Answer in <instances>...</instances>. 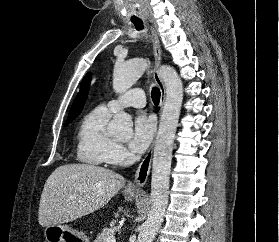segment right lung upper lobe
<instances>
[{
    "label": "right lung upper lobe",
    "instance_id": "right-lung-upper-lobe-1",
    "mask_svg": "<svg viewBox=\"0 0 279 242\" xmlns=\"http://www.w3.org/2000/svg\"><path fill=\"white\" fill-rule=\"evenodd\" d=\"M89 84H90V74L88 73L82 83H81V87H80V92L78 93V95L76 96L73 105L70 109L69 112V116L68 119L71 121L72 119L76 118V116L81 112L82 107L84 105V102L86 100L87 97V93H88V89H89Z\"/></svg>",
    "mask_w": 279,
    "mask_h": 242
}]
</instances>
